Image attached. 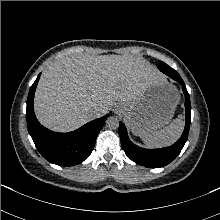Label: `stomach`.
Wrapping results in <instances>:
<instances>
[{
	"label": "stomach",
	"instance_id": "0dacf381",
	"mask_svg": "<svg viewBox=\"0 0 220 220\" xmlns=\"http://www.w3.org/2000/svg\"><path fill=\"white\" fill-rule=\"evenodd\" d=\"M179 100L177 88L161 78L151 83L135 99L122 102L121 113L132 133L142 135L168 124Z\"/></svg>",
	"mask_w": 220,
	"mask_h": 220
}]
</instances>
